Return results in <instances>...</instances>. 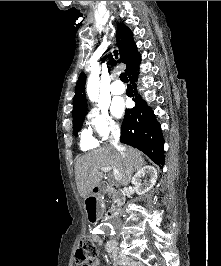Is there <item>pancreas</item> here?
Listing matches in <instances>:
<instances>
[{"instance_id": "cf45deb5", "label": "pancreas", "mask_w": 221, "mask_h": 266, "mask_svg": "<svg viewBox=\"0 0 221 266\" xmlns=\"http://www.w3.org/2000/svg\"><path fill=\"white\" fill-rule=\"evenodd\" d=\"M112 201H113V208L114 209H118L123 204L122 199L115 194L113 196Z\"/></svg>"}]
</instances>
